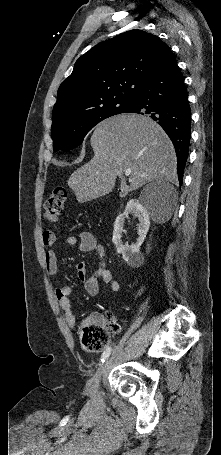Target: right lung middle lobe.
I'll use <instances>...</instances> for the list:
<instances>
[{"label":"right lung middle lobe","instance_id":"right-lung-middle-lobe-1","mask_svg":"<svg viewBox=\"0 0 221 455\" xmlns=\"http://www.w3.org/2000/svg\"><path fill=\"white\" fill-rule=\"evenodd\" d=\"M131 99H110L95 104L67 118L52 123L53 150H71L80 145L85 135L102 120L124 113Z\"/></svg>","mask_w":221,"mask_h":455}]
</instances>
